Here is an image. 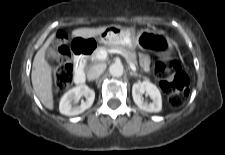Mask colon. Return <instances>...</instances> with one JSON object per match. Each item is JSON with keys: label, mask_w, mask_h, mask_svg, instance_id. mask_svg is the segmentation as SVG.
Masks as SVG:
<instances>
[{"label": "colon", "mask_w": 225, "mask_h": 155, "mask_svg": "<svg viewBox=\"0 0 225 155\" xmlns=\"http://www.w3.org/2000/svg\"><path fill=\"white\" fill-rule=\"evenodd\" d=\"M52 71L56 90L69 86L73 77V65L70 50L65 46L61 34L57 39V54L52 59ZM155 73L161 80L162 89L168 94L169 104L174 108L181 107L189 95V79L179 61H159L155 66Z\"/></svg>", "instance_id": "5ec220e1"}]
</instances>
